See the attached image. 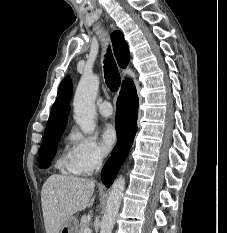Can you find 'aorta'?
<instances>
[{"mask_svg": "<svg viewBox=\"0 0 227 233\" xmlns=\"http://www.w3.org/2000/svg\"><path fill=\"white\" fill-rule=\"evenodd\" d=\"M99 89V77L93 74L82 76L73 100L74 119L85 134L95 130V99ZM125 189V179L120 176L112 185L106 211L100 225V233H112Z\"/></svg>", "mask_w": 227, "mask_h": 233, "instance_id": "aorta-1", "label": "aorta"}]
</instances>
